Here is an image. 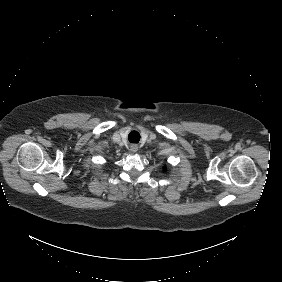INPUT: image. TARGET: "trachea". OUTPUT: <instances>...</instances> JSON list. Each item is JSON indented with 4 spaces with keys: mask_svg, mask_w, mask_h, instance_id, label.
Returning <instances> with one entry per match:
<instances>
[{
    "mask_svg": "<svg viewBox=\"0 0 282 282\" xmlns=\"http://www.w3.org/2000/svg\"><path fill=\"white\" fill-rule=\"evenodd\" d=\"M128 140L131 143H138L140 140V134L137 131H132L128 135Z\"/></svg>",
    "mask_w": 282,
    "mask_h": 282,
    "instance_id": "1",
    "label": "trachea"
}]
</instances>
